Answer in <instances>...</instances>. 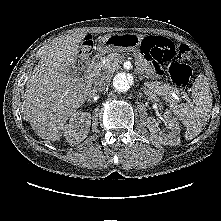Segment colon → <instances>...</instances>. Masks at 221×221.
Returning a JSON list of instances; mask_svg holds the SVG:
<instances>
[{
    "label": "colon",
    "instance_id": "colon-1",
    "mask_svg": "<svg viewBox=\"0 0 221 221\" xmlns=\"http://www.w3.org/2000/svg\"><path fill=\"white\" fill-rule=\"evenodd\" d=\"M94 47L92 36L87 35L79 51V65L84 66L89 61ZM141 53L154 66L160 69L167 66L170 79L177 87H184L191 77V68L185 63L192 58L188 45H175L169 39L146 37L141 44Z\"/></svg>",
    "mask_w": 221,
    "mask_h": 221
}]
</instances>
